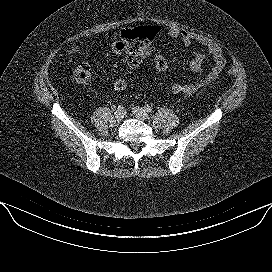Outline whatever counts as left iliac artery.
Masks as SVG:
<instances>
[{
    "mask_svg": "<svg viewBox=\"0 0 272 272\" xmlns=\"http://www.w3.org/2000/svg\"><path fill=\"white\" fill-rule=\"evenodd\" d=\"M144 108H145V110H146L147 112H149V113H151V112L153 111L152 107L149 106V105H146Z\"/></svg>",
    "mask_w": 272,
    "mask_h": 272,
    "instance_id": "left-iliac-artery-1",
    "label": "left iliac artery"
}]
</instances>
